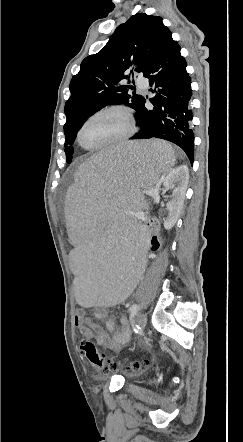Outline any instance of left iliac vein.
<instances>
[{
	"mask_svg": "<svg viewBox=\"0 0 243 442\" xmlns=\"http://www.w3.org/2000/svg\"><path fill=\"white\" fill-rule=\"evenodd\" d=\"M137 323L140 327V331H144L147 325V316L145 313H140L137 317Z\"/></svg>",
	"mask_w": 243,
	"mask_h": 442,
	"instance_id": "obj_1",
	"label": "left iliac vein"
}]
</instances>
